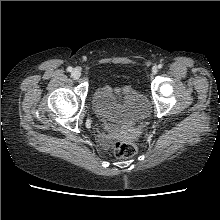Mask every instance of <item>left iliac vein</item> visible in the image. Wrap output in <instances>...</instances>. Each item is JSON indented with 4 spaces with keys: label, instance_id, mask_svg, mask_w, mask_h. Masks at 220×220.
<instances>
[{
    "label": "left iliac vein",
    "instance_id": "left-iliac-vein-1",
    "mask_svg": "<svg viewBox=\"0 0 220 220\" xmlns=\"http://www.w3.org/2000/svg\"><path fill=\"white\" fill-rule=\"evenodd\" d=\"M157 71H158L157 67L154 66V67L152 68V74H153V75L157 74Z\"/></svg>",
    "mask_w": 220,
    "mask_h": 220
}]
</instances>
